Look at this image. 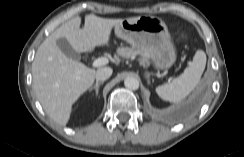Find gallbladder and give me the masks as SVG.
I'll list each match as a JSON object with an SVG mask.
<instances>
[{
    "label": "gallbladder",
    "mask_w": 244,
    "mask_h": 157,
    "mask_svg": "<svg viewBox=\"0 0 244 157\" xmlns=\"http://www.w3.org/2000/svg\"><path fill=\"white\" fill-rule=\"evenodd\" d=\"M57 46L60 48V50L69 58L73 60H80V54L77 53L72 46L69 44V42L65 38H59L57 40Z\"/></svg>",
    "instance_id": "bac80fb5"
}]
</instances>
